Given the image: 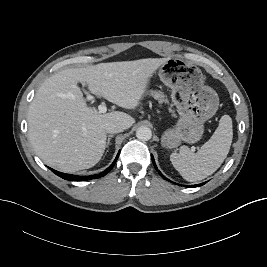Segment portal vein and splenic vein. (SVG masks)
<instances>
[{
  "instance_id": "portal-vein-and-splenic-vein-1",
  "label": "portal vein and splenic vein",
  "mask_w": 267,
  "mask_h": 267,
  "mask_svg": "<svg viewBox=\"0 0 267 267\" xmlns=\"http://www.w3.org/2000/svg\"><path fill=\"white\" fill-rule=\"evenodd\" d=\"M83 91L87 95V97H86L87 100H93L94 99V97L91 96L90 94H88V92H86L85 90H83ZM98 110H99L100 113H106L107 107L105 105H99L98 106Z\"/></svg>"
}]
</instances>
